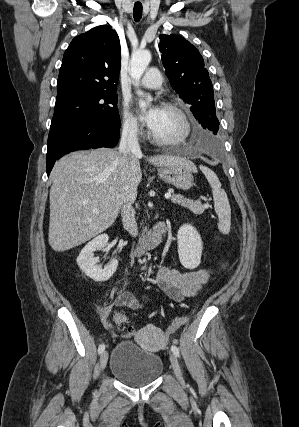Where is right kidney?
Returning <instances> with one entry per match:
<instances>
[{"label":"right kidney","mask_w":299,"mask_h":427,"mask_svg":"<svg viewBox=\"0 0 299 427\" xmlns=\"http://www.w3.org/2000/svg\"><path fill=\"white\" fill-rule=\"evenodd\" d=\"M108 235L102 234L90 241L77 257V264L85 275L97 282L107 281L115 273L118 261L114 260L104 268L98 265L99 258L94 257V252L105 247L108 243Z\"/></svg>","instance_id":"1"}]
</instances>
